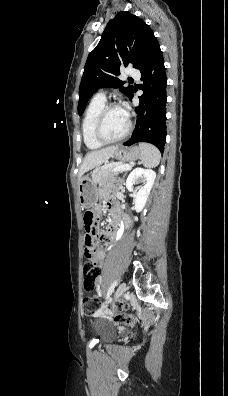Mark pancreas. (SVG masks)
<instances>
[{"instance_id": "obj_1", "label": "pancreas", "mask_w": 228, "mask_h": 396, "mask_svg": "<svg viewBox=\"0 0 228 396\" xmlns=\"http://www.w3.org/2000/svg\"><path fill=\"white\" fill-rule=\"evenodd\" d=\"M115 166H117V165L116 164H108L106 166H103V167L95 170L94 175H93V181L95 183H100L103 180H106V179L111 178L115 175H118L119 171H113Z\"/></svg>"}]
</instances>
